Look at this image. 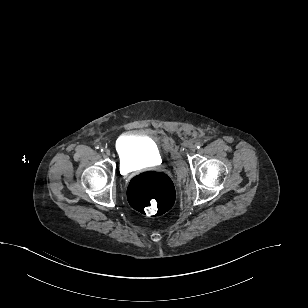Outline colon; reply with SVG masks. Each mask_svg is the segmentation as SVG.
I'll return each instance as SVG.
<instances>
[{
    "label": "colon",
    "instance_id": "1",
    "mask_svg": "<svg viewBox=\"0 0 308 308\" xmlns=\"http://www.w3.org/2000/svg\"><path fill=\"white\" fill-rule=\"evenodd\" d=\"M128 199L139 212L161 216L171 210L175 203V187L166 174L156 171L143 172L129 183Z\"/></svg>",
    "mask_w": 308,
    "mask_h": 308
}]
</instances>
